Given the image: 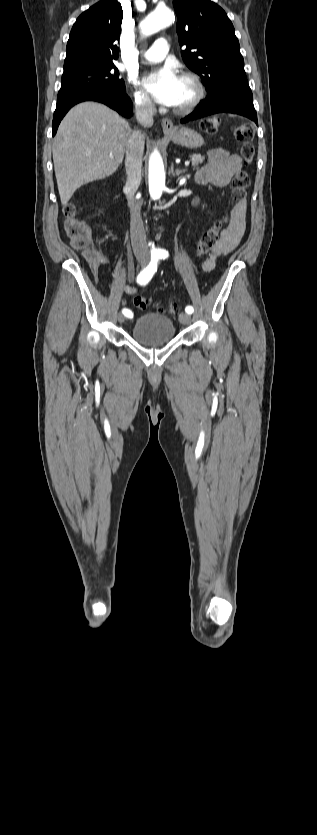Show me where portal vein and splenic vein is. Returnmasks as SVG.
I'll return each instance as SVG.
<instances>
[{"label":"portal vein and splenic vein","instance_id":"obj_1","mask_svg":"<svg viewBox=\"0 0 317 835\" xmlns=\"http://www.w3.org/2000/svg\"><path fill=\"white\" fill-rule=\"evenodd\" d=\"M110 157H112V155H110ZM189 164H190V161H188V160H187V161L185 162V166H189Z\"/></svg>","mask_w":317,"mask_h":835}]
</instances>
